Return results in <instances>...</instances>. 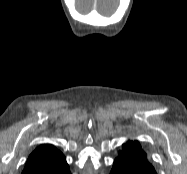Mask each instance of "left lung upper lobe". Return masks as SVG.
I'll return each mask as SVG.
<instances>
[{
    "label": "left lung upper lobe",
    "instance_id": "5c2ea615",
    "mask_svg": "<svg viewBox=\"0 0 187 174\" xmlns=\"http://www.w3.org/2000/svg\"><path fill=\"white\" fill-rule=\"evenodd\" d=\"M127 169L133 170L138 174H142L145 169L154 171L152 164L147 160L146 153L141 149L138 141H128L123 145V152L115 159Z\"/></svg>",
    "mask_w": 187,
    "mask_h": 174
}]
</instances>
